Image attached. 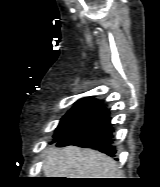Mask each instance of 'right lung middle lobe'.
I'll return each instance as SVG.
<instances>
[{"instance_id":"right-lung-middle-lobe-1","label":"right lung middle lobe","mask_w":160,"mask_h":187,"mask_svg":"<svg viewBox=\"0 0 160 187\" xmlns=\"http://www.w3.org/2000/svg\"><path fill=\"white\" fill-rule=\"evenodd\" d=\"M97 106L76 105L61 119L53 136L55 141L71 134L84 124L96 111Z\"/></svg>"}]
</instances>
